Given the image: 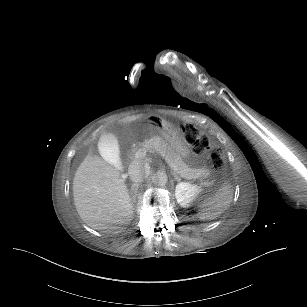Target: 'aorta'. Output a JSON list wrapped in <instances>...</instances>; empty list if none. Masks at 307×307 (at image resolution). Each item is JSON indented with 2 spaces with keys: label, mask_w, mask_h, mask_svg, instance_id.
<instances>
[{
  "label": "aorta",
  "mask_w": 307,
  "mask_h": 307,
  "mask_svg": "<svg viewBox=\"0 0 307 307\" xmlns=\"http://www.w3.org/2000/svg\"><path fill=\"white\" fill-rule=\"evenodd\" d=\"M152 181L158 186H164L168 181L167 174L164 171L157 172V174L153 176Z\"/></svg>",
  "instance_id": "1"
}]
</instances>
